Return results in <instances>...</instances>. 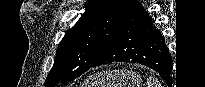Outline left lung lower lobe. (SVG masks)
<instances>
[{"instance_id":"obj_1","label":"left lung lower lobe","mask_w":205,"mask_h":87,"mask_svg":"<svg viewBox=\"0 0 205 87\" xmlns=\"http://www.w3.org/2000/svg\"><path fill=\"white\" fill-rule=\"evenodd\" d=\"M112 62L139 63L157 71L167 83L172 79V58L165 40L138 1L92 67Z\"/></svg>"}]
</instances>
